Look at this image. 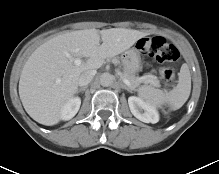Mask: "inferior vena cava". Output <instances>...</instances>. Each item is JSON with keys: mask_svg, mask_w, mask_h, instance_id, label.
<instances>
[{"mask_svg": "<svg viewBox=\"0 0 219 174\" xmlns=\"http://www.w3.org/2000/svg\"><path fill=\"white\" fill-rule=\"evenodd\" d=\"M95 74H96V70H88L83 72L79 77V82H78L79 85L80 86L88 85L92 81Z\"/></svg>", "mask_w": 219, "mask_h": 174, "instance_id": "obj_1", "label": "inferior vena cava"}]
</instances>
